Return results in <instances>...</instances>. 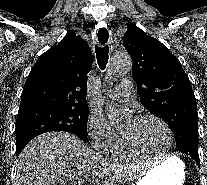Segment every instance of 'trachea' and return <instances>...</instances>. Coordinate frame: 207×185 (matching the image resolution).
Listing matches in <instances>:
<instances>
[{
	"label": "trachea",
	"instance_id": "trachea-1",
	"mask_svg": "<svg viewBox=\"0 0 207 185\" xmlns=\"http://www.w3.org/2000/svg\"><path fill=\"white\" fill-rule=\"evenodd\" d=\"M109 34H108V30H106V28H100V30L98 31V39L100 41V43H106L108 40ZM108 46L104 47V48H100L96 46V58H97V62L99 67L104 70V68L107 65V61H108Z\"/></svg>",
	"mask_w": 207,
	"mask_h": 185
}]
</instances>
